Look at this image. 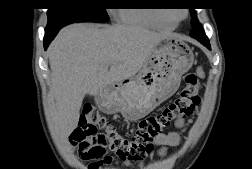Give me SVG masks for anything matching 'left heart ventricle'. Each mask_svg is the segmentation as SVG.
Here are the masks:
<instances>
[{
  "label": "left heart ventricle",
  "instance_id": "1",
  "mask_svg": "<svg viewBox=\"0 0 252 169\" xmlns=\"http://www.w3.org/2000/svg\"><path fill=\"white\" fill-rule=\"evenodd\" d=\"M175 14H176L177 16H183V11H177Z\"/></svg>",
  "mask_w": 252,
  "mask_h": 169
}]
</instances>
